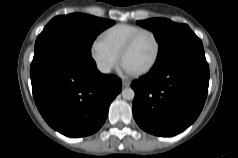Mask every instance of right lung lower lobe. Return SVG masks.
<instances>
[{
    "label": "right lung lower lobe",
    "instance_id": "1",
    "mask_svg": "<svg viewBox=\"0 0 238 158\" xmlns=\"http://www.w3.org/2000/svg\"><path fill=\"white\" fill-rule=\"evenodd\" d=\"M33 97L45 121L68 137L93 134L104 124L122 81L101 74L92 57L50 42L34 50Z\"/></svg>",
    "mask_w": 238,
    "mask_h": 158
}]
</instances>
